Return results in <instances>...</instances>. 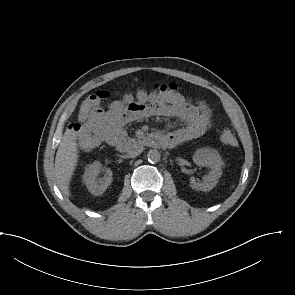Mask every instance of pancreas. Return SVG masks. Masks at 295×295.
Masks as SVG:
<instances>
[{
  "label": "pancreas",
  "mask_w": 295,
  "mask_h": 295,
  "mask_svg": "<svg viewBox=\"0 0 295 295\" xmlns=\"http://www.w3.org/2000/svg\"><path fill=\"white\" fill-rule=\"evenodd\" d=\"M128 142L129 144H137V143H140L141 141L138 139L132 138V139H129Z\"/></svg>",
  "instance_id": "1"
}]
</instances>
